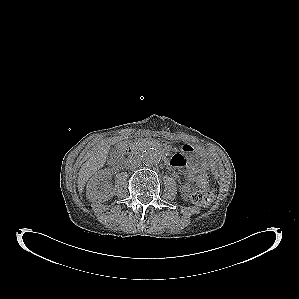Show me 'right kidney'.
I'll return each instance as SVG.
<instances>
[{
    "label": "right kidney",
    "mask_w": 299,
    "mask_h": 299,
    "mask_svg": "<svg viewBox=\"0 0 299 299\" xmlns=\"http://www.w3.org/2000/svg\"><path fill=\"white\" fill-rule=\"evenodd\" d=\"M109 176L107 170H100L96 172L88 181L86 195L91 201L105 202L112 197L113 186L104 178Z\"/></svg>",
    "instance_id": "ca27d5eb"
}]
</instances>
